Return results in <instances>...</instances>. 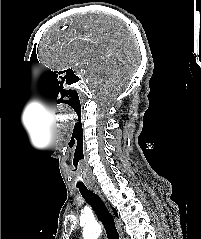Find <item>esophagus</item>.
Listing matches in <instances>:
<instances>
[{
	"instance_id": "34e87169",
	"label": "esophagus",
	"mask_w": 201,
	"mask_h": 239,
	"mask_svg": "<svg viewBox=\"0 0 201 239\" xmlns=\"http://www.w3.org/2000/svg\"><path fill=\"white\" fill-rule=\"evenodd\" d=\"M98 193L100 194V192H98ZM119 230H120L121 239H125V238L123 237V233H122V231H121L120 228H119Z\"/></svg>"
}]
</instances>
